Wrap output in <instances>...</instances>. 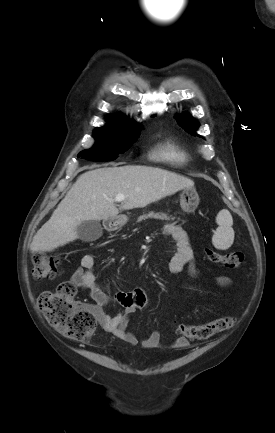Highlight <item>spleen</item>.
Masks as SVG:
<instances>
[{
    "instance_id": "spleen-1",
    "label": "spleen",
    "mask_w": 275,
    "mask_h": 433,
    "mask_svg": "<svg viewBox=\"0 0 275 433\" xmlns=\"http://www.w3.org/2000/svg\"><path fill=\"white\" fill-rule=\"evenodd\" d=\"M218 228L212 237V244L216 249L226 250L234 241L233 219L227 209L221 210L216 217Z\"/></svg>"
}]
</instances>
